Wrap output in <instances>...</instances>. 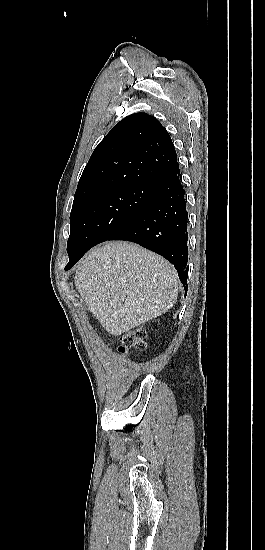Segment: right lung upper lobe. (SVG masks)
Here are the masks:
<instances>
[{"label": "right lung upper lobe", "instance_id": "right-lung-upper-lobe-1", "mask_svg": "<svg viewBox=\"0 0 265 550\" xmlns=\"http://www.w3.org/2000/svg\"><path fill=\"white\" fill-rule=\"evenodd\" d=\"M178 164L170 135L146 113L121 120L93 151L73 203L136 185H158Z\"/></svg>", "mask_w": 265, "mask_h": 550}]
</instances>
